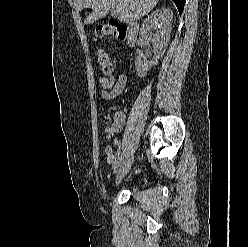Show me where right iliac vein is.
Instances as JSON below:
<instances>
[{"instance_id":"63e3f726","label":"right iliac vein","mask_w":248,"mask_h":247,"mask_svg":"<svg viewBox=\"0 0 248 247\" xmlns=\"http://www.w3.org/2000/svg\"><path fill=\"white\" fill-rule=\"evenodd\" d=\"M133 161H134L133 154L128 155L124 161L122 168L120 169V171L116 177L115 186H118L119 183L122 181V179L125 177V175H127V173L129 172V170L133 164Z\"/></svg>"}]
</instances>
